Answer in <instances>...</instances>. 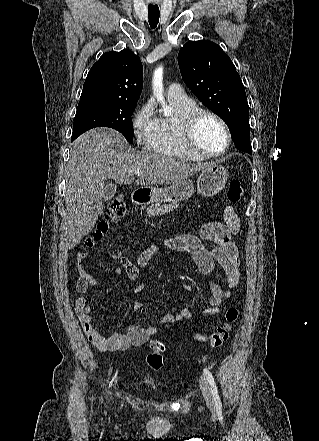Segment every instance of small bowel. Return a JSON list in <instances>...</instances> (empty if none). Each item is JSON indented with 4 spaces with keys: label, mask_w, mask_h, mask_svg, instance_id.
Returning <instances> with one entry per match:
<instances>
[{
    "label": "small bowel",
    "mask_w": 319,
    "mask_h": 441,
    "mask_svg": "<svg viewBox=\"0 0 319 441\" xmlns=\"http://www.w3.org/2000/svg\"><path fill=\"white\" fill-rule=\"evenodd\" d=\"M239 230V217L231 206H227L224 211L223 223L212 222L205 224L201 229L199 237L192 234H184L170 238L167 241V246L171 249L189 253L198 267L199 272L208 278L212 296L210 307L204 311L206 315L218 313L222 303L232 296V289L239 283L240 258L237 246L232 240V237L237 235ZM204 240L215 243L216 247L212 250H208L203 243ZM156 250V247H154L143 252L139 256L136 264L124 257L119 251H112L110 257L118 259L121 262V267L117 272L124 274L129 280H135L139 275L140 269L147 265ZM83 258V254H78L77 271L79 280L76 285L78 297L75 301V314L88 339L102 351H122L132 346L137 347L144 345L151 336L158 333L157 327L128 325L125 333L114 332L109 337L103 336L96 328L91 317V307L87 303L85 292L89 288L97 289L98 281L96 277L84 270L81 263ZM217 265L223 271L229 288L228 290H224L214 277ZM183 289L187 292H193V285L185 283ZM134 307L141 309L144 305L137 302ZM192 316L191 310L187 307H183L176 314L163 315L161 322L172 324L189 320Z\"/></svg>",
    "instance_id": "c3829d8e"
}]
</instances>
